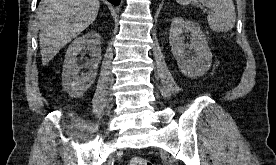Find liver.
I'll use <instances>...</instances> for the list:
<instances>
[{
	"label": "liver",
	"instance_id": "1",
	"mask_svg": "<svg viewBox=\"0 0 276 165\" xmlns=\"http://www.w3.org/2000/svg\"><path fill=\"white\" fill-rule=\"evenodd\" d=\"M99 0H41L38 6L42 64L95 21Z\"/></svg>",
	"mask_w": 276,
	"mask_h": 165
}]
</instances>
